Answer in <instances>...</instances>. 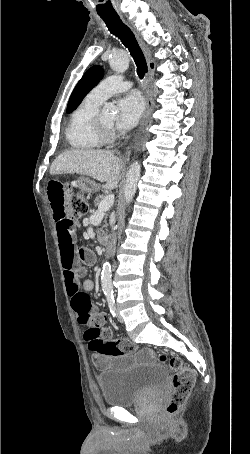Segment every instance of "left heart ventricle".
<instances>
[{
  "label": "left heart ventricle",
  "instance_id": "left-heart-ventricle-1",
  "mask_svg": "<svg viewBox=\"0 0 250 454\" xmlns=\"http://www.w3.org/2000/svg\"><path fill=\"white\" fill-rule=\"evenodd\" d=\"M101 119L108 127H112L114 125L115 116L113 114L101 113Z\"/></svg>",
  "mask_w": 250,
  "mask_h": 454
}]
</instances>
